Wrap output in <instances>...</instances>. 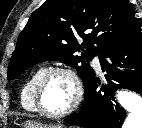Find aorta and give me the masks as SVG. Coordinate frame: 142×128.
Masks as SVG:
<instances>
[{
  "mask_svg": "<svg viewBox=\"0 0 142 128\" xmlns=\"http://www.w3.org/2000/svg\"><path fill=\"white\" fill-rule=\"evenodd\" d=\"M117 101L128 112L123 128H142V97L131 91H120Z\"/></svg>",
  "mask_w": 142,
  "mask_h": 128,
  "instance_id": "1",
  "label": "aorta"
}]
</instances>
